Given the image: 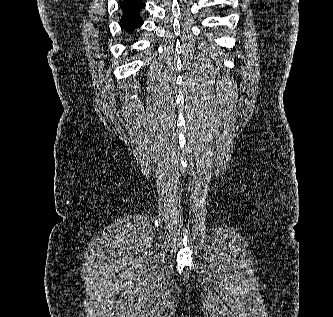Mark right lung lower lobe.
<instances>
[{
	"label": "right lung lower lobe",
	"mask_w": 333,
	"mask_h": 317,
	"mask_svg": "<svg viewBox=\"0 0 333 317\" xmlns=\"http://www.w3.org/2000/svg\"><path fill=\"white\" fill-rule=\"evenodd\" d=\"M120 6L122 9L121 27L125 32L132 33L143 24L140 12L145 4L141 0H122Z\"/></svg>",
	"instance_id": "obj_1"
}]
</instances>
